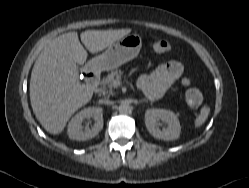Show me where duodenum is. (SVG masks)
<instances>
[{
	"instance_id": "1",
	"label": "duodenum",
	"mask_w": 249,
	"mask_h": 188,
	"mask_svg": "<svg viewBox=\"0 0 249 188\" xmlns=\"http://www.w3.org/2000/svg\"><path fill=\"white\" fill-rule=\"evenodd\" d=\"M86 81L90 88L95 91L98 89L99 75L95 70L89 69L86 71Z\"/></svg>"
}]
</instances>
